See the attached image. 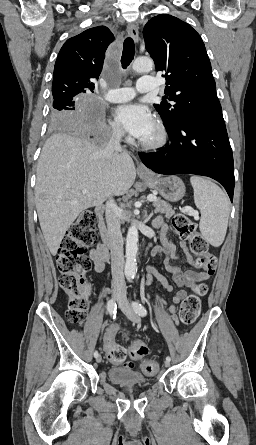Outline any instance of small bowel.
<instances>
[{"label": "small bowel", "instance_id": "c3829d8e", "mask_svg": "<svg viewBox=\"0 0 256 445\" xmlns=\"http://www.w3.org/2000/svg\"><path fill=\"white\" fill-rule=\"evenodd\" d=\"M154 224L160 230V240L152 254L153 256H164L163 267L165 271L171 275L173 282L179 287V290L173 296L171 304H168L164 299H160V304L175 319L177 305L187 296L186 289L193 288L197 283L205 280L207 276L205 273L197 272L192 269L185 270L180 264L176 263V261L181 258L176 254V247L168 235L167 226L161 218L155 219ZM180 247L184 252L183 259L189 265H193V260L188 253L186 243L182 241ZM90 259L94 264L95 272L102 273L105 269L106 262L109 260V252L103 244L99 243L90 251ZM153 279H156L167 292L173 291V285L159 273L156 266L150 265L147 267V283H150ZM116 331V326H111L107 329L104 335L106 349L110 345L115 344Z\"/></svg>", "mask_w": 256, "mask_h": 445}]
</instances>
